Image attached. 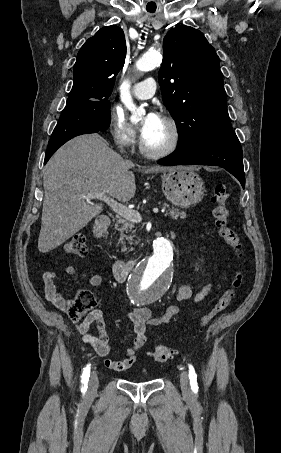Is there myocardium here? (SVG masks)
Listing matches in <instances>:
<instances>
[{
    "label": "myocardium",
    "instance_id": "myocardium-1",
    "mask_svg": "<svg viewBox=\"0 0 281 453\" xmlns=\"http://www.w3.org/2000/svg\"><path fill=\"white\" fill-rule=\"evenodd\" d=\"M161 120L170 131L171 141L164 149L152 150L147 147L144 137L141 135L139 139L138 148L140 153L147 158L160 159L167 157L174 153L179 144L180 132L176 123L169 119L168 117H163Z\"/></svg>",
    "mask_w": 281,
    "mask_h": 453
}]
</instances>
